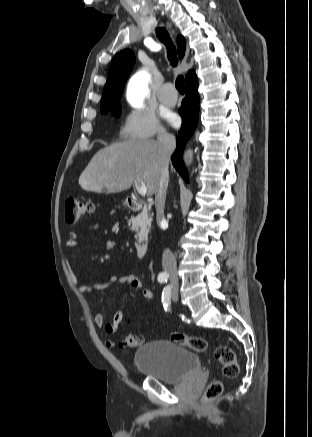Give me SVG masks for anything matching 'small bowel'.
Listing matches in <instances>:
<instances>
[{"instance_id":"1","label":"small bowel","mask_w":312,"mask_h":437,"mask_svg":"<svg viewBox=\"0 0 312 437\" xmlns=\"http://www.w3.org/2000/svg\"><path fill=\"white\" fill-rule=\"evenodd\" d=\"M78 237H79V234L77 232H70L69 239L66 241L65 247L67 249L75 248L77 245V238ZM104 245H105V248L108 250H113L116 247L115 242H113L111 240H106ZM114 285H126L134 290L139 291L142 294V296L148 300H151L153 298L152 291L149 288L144 287L143 282L140 279V277L137 275H134V274H129V275L121 276V277L114 276V277L109 278L105 282L95 283L93 285H79L78 289L81 293L90 294V293L104 290V289H106L110 286H114ZM90 305H91L93 312H94L95 324L98 327L103 328L107 334L117 333L119 330V326H120L121 322L123 321V317H124L123 312L121 310L116 311L114 313L111 321L106 322L103 314L96 308V305L94 304V302L90 301ZM105 345L109 348L116 347V343L111 341V340H107L105 342Z\"/></svg>"}]
</instances>
